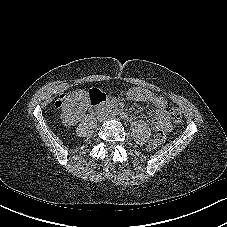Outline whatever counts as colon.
<instances>
[{
	"mask_svg": "<svg viewBox=\"0 0 227 227\" xmlns=\"http://www.w3.org/2000/svg\"><path fill=\"white\" fill-rule=\"evenodd\" d=\"M61 103H62V99L57 101L56 106L60 107ZM170 117H171V119L174 123H176V124L180 123L182 121V113H181L180 109L177 108V107H173L170 110ZM165 140H166V136H165L164 132L158 131L153 136L151 141L149 142V148L150 149H156V148L160 147L165 142Z\"/></svg>",
	"mask_w": 227,
	"mask_h": 227,
	"instance_id": "obj_1",
	"label": "colon"
}]
</instances>
